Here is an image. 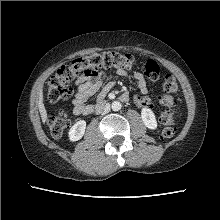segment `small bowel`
Here are the masks:
<instances>
[{
  "label": "small bowel",
  "instance_id": "obj_1",
  "mask_svg": "<svg viewBox=\"0 0 220 220\" xmlns=\"http://www.w3.org/2000/svg\"><path fill=\"white\" fill-rule=\"evenodd\" d=\"M117 75L125 77L127 72L124 69L118 68ZM106 78V73L103 70H96L92 74H80L77 76L75 83L77 92L73 99V111L76 115H89L94 111V106L87 103V100L96 94L103 85ZM137 81L139 94L134 97L135 103L140 107H148L151 105V100L146 96L147 84L143 75L139 72L134 74ZM114 83L108 82L105 84L98 95L97 101H101L105 94L110 91Z\"/></svg>",
  "mask_w": 220,
  "mask_h": 220
}]
</instances>
